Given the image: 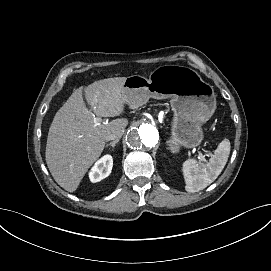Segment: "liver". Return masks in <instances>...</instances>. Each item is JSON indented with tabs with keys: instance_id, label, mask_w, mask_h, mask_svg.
Listing matches in <instances>:
<instances>
[{
	"instance_id": "1",
	"label": "liver",
	"mask_w": 271,
	"mask_h": 271,
	"mask_svg": "<svg viewBox=\"0 0 271 271\" xmlns=\"http://www.w3.org/2000/svg\"><path fill=\"white\" fill-rule=\"evenodd\" d=\"M126 79L107 78L80 87L55 114L45 156L54 180L66 191L77 189L89 167L101 155L106 137L127 126L128 121L124 118L107 124H101L95 118L114 117L123 112L121 91ZM83 92L91 110L86 108Z\"/></svg>"
}]
</instances>
